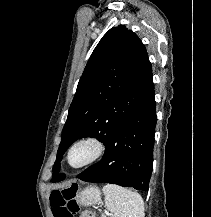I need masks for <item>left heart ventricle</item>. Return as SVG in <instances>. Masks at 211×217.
I'll list each match as a JSON object with an SVG mask.
<instances>
[{"instance_id": "1", "label": "left heart ventricle", "mask_w": 211, "mask_h": 217, "mask_svg": "<svg viewBox=\"0 0 211 217\" xmlns=\"http://www.w3.org/2000/svg\"><path fill=\"white\" fill-rule=\"evenodd\" d=\"M93 149L90 145L77 146L71 153L70 161L73 165H79L86 161L92 154Z\"/></svg>"}]
</instances>
